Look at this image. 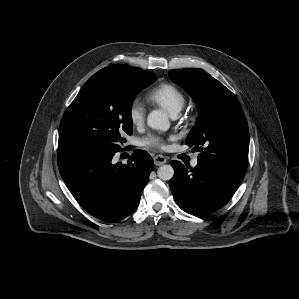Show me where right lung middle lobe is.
<instances>
[{
  "label": "right lung middle lobe",
  "mask_w": 299,
  "mask_h": 299,
  "mask_svg": "<svg viewBox=\"0 0 299 299\" xmlns=\"http://www.w3.org/2000/svg\"><path fill=\"white\" fill-rule=\"evenodd\" d=\"M151 72L126 65L94 74L66 109L59 128V146L103 153L121 150V135L132 134L131 107L137 93L154 82Z\"/></svg>",
  "instance_id": "right-lung-middle-lobe-1"
}]
</instances>
